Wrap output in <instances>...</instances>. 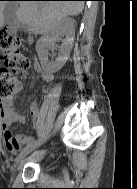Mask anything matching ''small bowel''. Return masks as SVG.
I'll use <instances>...</instances> for the list:
<instances>
[{"label":"small bowel","instance_id":"obj_1","mask_svg":"<svg viewBox=\"0 0 137 189\" xmlns=\"http://www.w3.org/2000/svg\"><path fill=\"white\" fill-rule=\"evenodd\" d=\"M36 72L45 82H51L53 75L41 68L39 64L35 66ZM30 116L34 127H38L39 107L36 103L30 106ZM0 119L6 148L10 153H16L22 150L30 141V137L23 134H13L12 125L14 123H25V117L11 108L9 101L0 103Z\"/></svg>","mask_w":137,"mask_h":189}]
</instances>
